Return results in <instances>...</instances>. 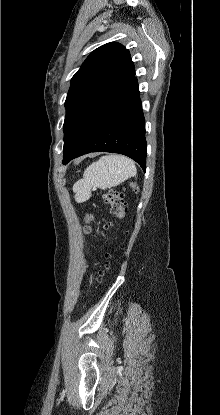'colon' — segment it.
<instances>
[{
    "label": "colon",
    "instance_id": "1",
    "mask_svg": "<svg viewBox=\"0 0 220 415\" xmlns=\"http://www.w3.org/2000/svg\"><path fill=\"white\" fill-rule=\"evenodd\" d=\"M131 188L136 191L137 186L135 184H131ZM105 201L109 205L110 212L113 216L118 219H123L125 217V207H124V200L122 194L117 190H110L105 194ZM93 219V214L86 213L84 216V231L88 232L90 230V222ZM110 270V264L106 265L104 271H102L98 275V280L102 281L106 275V273Z\"/></svg>",
    "mask_w": 220,
    "mask_h": 415
}]
</instances>
